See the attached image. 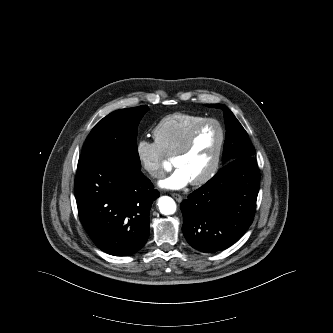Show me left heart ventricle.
<instances>
[{
  "instance_id": "b2bd125f",
  "label": "left heart ventricle",
  "mask_w": 333,
  "mask_h": 333,
  "mask_svg": "<svg viewBox=\"0 0 333 333\" xmlns=\"http://www.w3.org/2000/svg\"><path fill=\"white\" fill-rule=\"evenodd\" d=\"M219 141L218 127L214 124L206 125L196 135L191 150L185 155L174 158V166L182 168L191 181L200 178L211 167Z\"/></svg>"
}]
</instances>
